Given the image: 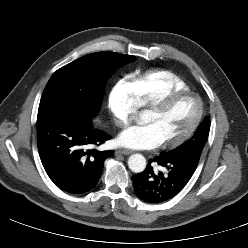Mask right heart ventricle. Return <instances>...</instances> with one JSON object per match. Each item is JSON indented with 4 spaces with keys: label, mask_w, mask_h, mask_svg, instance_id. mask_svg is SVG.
<instances>
[{
    "label": "right heart ventricle",
    "mask_w": 248,
    "mask_h": 248,
    "mask_svg": "<svg viewBox=\"0 0 248 248\" xmlns=\"http://www.w3.org/2000/svg\"><path fill=\"white\" fill-rule=\"evenodd\" d=\"M126 83L139 107H147L169 92L190 90L182 78L170 71H153L142 75H132Z\"/></svg>",
    "instance_id": "e07e8e85"
}]
</instances>
